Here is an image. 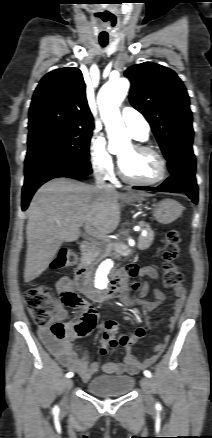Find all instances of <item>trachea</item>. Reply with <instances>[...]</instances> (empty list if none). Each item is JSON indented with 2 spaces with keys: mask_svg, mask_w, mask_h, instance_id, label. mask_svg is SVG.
I'll return each instance as SVG.
<instances>
[{
  "mask_svg": "<svg viewBox=\"0 0 212 438\" xmlns=\"http://www.w3.org/2000/svg\"><path fill=\"white\" fill-rule=\"evenodd\" d=\"M100 45H101L102 47H105V46L107 45V43H106V42H100Z\"/></svg>",
  "mask_w": 212,
  "mask_h": 438,
  "instance_id": "obj_1",
  "label": "trachea"
}]
</instances>
